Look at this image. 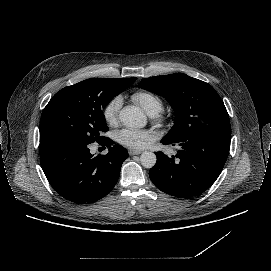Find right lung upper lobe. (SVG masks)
<instances>
[{
    "label": "right lung upper lobe",
    "instance_id": "cb5924a9",
    "mask_svg": "<svg viewBox=\"0 0 271 271\" xmlns=\"http://www.w3.org/2000/svg\"><path fill=\"white\" fill-rule=\"evenodd\" d=\"M122 80H129V81H133V83H134L136 81V78L135 77H133V78H126V79H122ZM86 82H87V80H84V81L79 82V83H77L75 85H80V84H83V83H86Z\"/></svg>",
    "mask_w": 271,
    "mask_h": 271
}]
</instances>
